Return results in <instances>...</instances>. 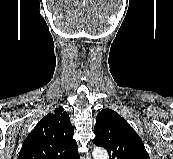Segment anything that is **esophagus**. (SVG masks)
Instances as JSON below:
<instances>
[{"label": "esophagus", "instance_id": "34e87169", "mask_svg": "<svg viewBox=\"0 0 173 159\" xmlns=\"http://www.w3.org/2000/svg\"><path fill=\"white\" fill-rule=\"evenodd\" d=\"M86 159H91L89 156H87V158Z\"/></svg>", "mask_w": 173, "mask_h": 159}]
</instances>
